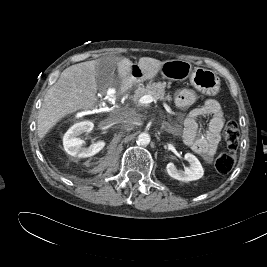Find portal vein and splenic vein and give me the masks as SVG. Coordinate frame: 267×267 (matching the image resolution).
Here are the masks:
<instances>
[{
  "label": "portal vein and splenic vein",
  "instance_id": "obj_1",
  "mask_svg": "<svg viewBox=\"0 0 267 267\" xmlns=\"http://www.w3.org/2000/svg\"><path fill=\"white\" fill-rule=\"evenodd\" d=\"M155 101L154 98L151 95H144L139 99V103L141 104H149L151 102ZM165 109L169 112L172 113L170 107L164 103Z\"/></svg>",
  "mask_w": 267,
  "mask_h": 267
}]
</instances>
